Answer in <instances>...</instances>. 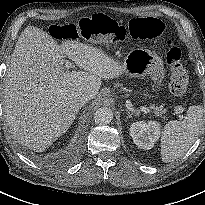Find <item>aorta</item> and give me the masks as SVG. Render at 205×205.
<instances>
[{
    "label": "aorta",
    "instance_id": "1",
    "mask_svg": "<svg viewBox=\"0 0 205 205\" xmlns=\"http://www.w3.org/2000/svg\"><path fill=\"white\" fill-rule=\"evenodd\" d=\"M113 119V113L111 109L102 107L96 110L94 114L95 123L99 125H106Z\"/></svg>",
    "mask_w": 205,
    "mask_h": 205
}]
</instances>
